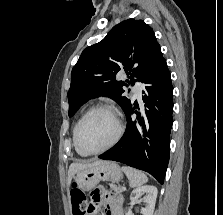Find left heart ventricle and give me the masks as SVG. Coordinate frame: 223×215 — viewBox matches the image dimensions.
Instances as JSON below:
<instances>
[{
	"label": "left heart ventricle",
	"instance_id": "obj_1",
	"mask_svg": "<svg viewBox=\"0 0 223 215\" xmlns=\"http://www.w3.org/2000/svg\"><path fill=\"white\" fill-rule=\"evenodd\" d=\"M117 122L104 110L91 114L82 124L78 144L82 151L93 152L106 147L115 137Z\"/></svg>",
	"mask_w": 223,
	"mask_h": 215
}]
</instances>
